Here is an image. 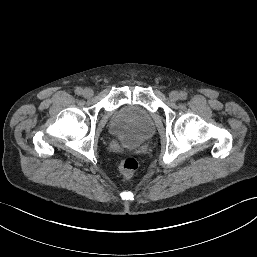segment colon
Masks as SVG:
<instances>
[{
	"label": "colon",
	"instance_id": "5ec220e1",
	"mask_svg": "<svg viewBox=\"0 0 257 257\" xmlns=\"http://www.w3.org/2000/svg\"><path fill=\"white\" fill-rule=\"evenodd\" d=\"M119 170L126 178H131L138 170V162L131 157L124 158L119 164Z\"/></svg>",
	"mask_w": 257,
	"mask_h": 257
}]
</instances>
